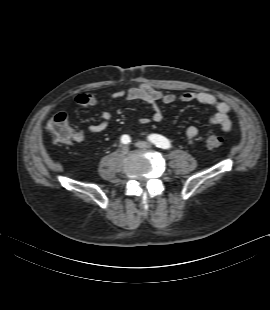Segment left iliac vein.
I'll list each match as a JSON object with an SVG mask.
<instances>
[{
  "mask_svg": "<svg viewBox=\"0 0 270 310\" xmlns=\"http://www.w3.org/2000/svg\"><path fill=\"white\" fill-rule=\"evenodd\" d=\"M138 148L149 149L152 147L151 143L145 141H138L135 143Z\"/></svg>",
  "mask_w": 270,
  "mask_h": 310,
  "instance_id": "left-iliac-vein-1",
  "label": "left iliac vein"
}]
</instances>
